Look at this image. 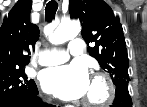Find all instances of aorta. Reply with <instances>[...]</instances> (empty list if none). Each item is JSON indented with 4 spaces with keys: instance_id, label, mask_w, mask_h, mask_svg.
Returning a JSON list of instances; mask_svg holds the SVG:
<instances>
[{
    "instance_id": "762f6f07",
    "label": "aorta",
    "mask_w": 147,
    "mask_h": 107,
    "mask_svg": "<svg viewBox=\"0 0 147 107\" xmlns=\"http://www.w3.org/2000/svg\"><path fill=\"white\" fill-rule=\"evenodd\" d=\"M81 31L79 22L76 21H64L49 37V40L53 44H62L68 40L75 38Z\"/></svg>"
}]
</instances>
